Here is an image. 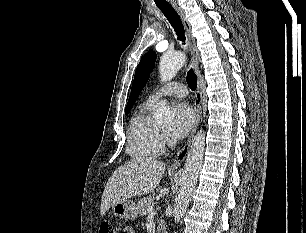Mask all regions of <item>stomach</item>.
Instances as JSON below:
<instances>
[{
  "label": "stomach",
  "instance_id": "0dacf381",
  "mask_svg": "<svg viewBox=\"0 0 306 233\" xmlns=\"http://www.w3.org/2000/svg\"><path fill=\"white\" fill-rule=\"evenodd\" d=\"M112 213L119 218L135 220L138 217L139 211L136 203L133 200L127 199L112 205Z\"/></svg>",
  "mask_w": 306,
  "mask_h": 233
}]
</instances>
